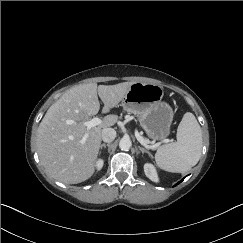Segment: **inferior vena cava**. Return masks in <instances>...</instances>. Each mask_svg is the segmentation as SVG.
Returning <instances> with one entry per match:
<instances>
[{"label": "inferior vena cava", "mask_w": 243, "mask_h": 243, "mask_svg": "<svg viewBox=\"0 0 243 243\" xmlns=\"http://www.w3.org/2000/svg\"><path fill=\"white\" fill-rule=\"evenodd\" d=\"M101 136L104 142L110 143L116 138V131L113 128H105Z\"/></svg>", "instance_id": "obj_1"}]
</instances>
